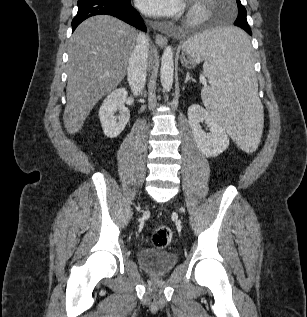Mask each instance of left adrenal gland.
<instances>
[{
    "label": "left adrenal gland",
    "instance_id": "a2214340",
    "mask_svg": "<svg viewBox=\"0 0 307 317\" xmlns=\"http://www.w3.org/2000/svg\"><path fill=\"white\" fill-rule=\"evenodd\" d=\"M189 80L194 81L193 78L190 77L189 72H187L186 78H185V83H187Z\"/></svg>",
    "mask_w": 307,
    "mask_h": 317
}]
</instances>
